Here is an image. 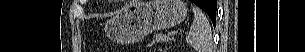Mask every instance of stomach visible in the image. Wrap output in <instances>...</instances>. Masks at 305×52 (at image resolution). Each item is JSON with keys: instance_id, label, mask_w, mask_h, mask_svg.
I'll return each mask as SVG.
<instances>
[{"instance_id": "obj_1", "label": "stomach", "mask_w": 305, "mask_h": 52, "mask_svg": "<svg viewBox=\"0 0 305 52\" xmlns=\"http://www.w3.org/2000/svg\"><path fill=\"white\" fill-rule=\"evenodd\" d=\"M187 11L182 0L135 1L107 22L105 32L118 43H133L153 31L181 23Z\"/></svg>"}]
</instances>
